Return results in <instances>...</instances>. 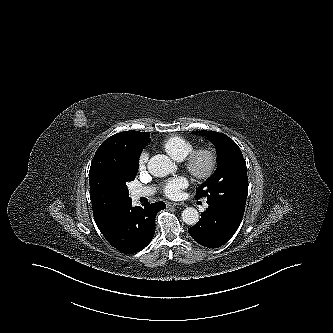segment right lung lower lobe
<instances>
[{
  "label": "right lung lower lobe",
  "mask_w": 333,
  "mask_h": 333,
  "mask_svg": "<svg viewBox=\"0 0 333 333\" xmlns=\"http://www.w3.org/2000/svg\"><path fill=\"white\" fill-rule=\"evenodd\" d=\"M132 206L131 199L123 203L101 230L108 242L120 252L132 254L144 249L155 233V216L165 208L164 202Z\"/></svg>",
  "instance_id": "98d812e1"
}]
</instances>
